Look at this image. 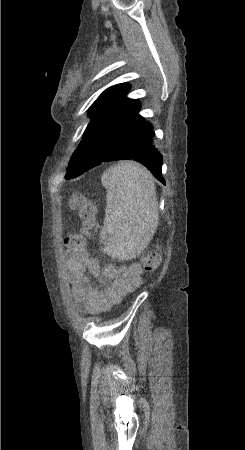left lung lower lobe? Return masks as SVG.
I'll use <instances>...</instances> for the list:
<instances>
[{"mask_svg":"<svg viewBox=\"0 0 245 450\" xmlns=\"http://www.w3.org/2000/svg\"><path fill=\"white\" fill-rule=\"evenodd\" d=\"M152 128L153 127L150 123L144 121L138 133L133 138H131L121 149L108 150V147L104 148V145L101 147H95V145H85L80 148L79 153L81 155L89 157V159L92 157H96L98 154L99 155L97 157H99L103 153V155L100 157L101 162L121 159H133L139 161L151 171L156 179L165 184L161 170L163 158L162 154L154 145L155 133Z\"/></svg>","mask_w":245,"mask_h":450,"instance_id":"1","label":"left lung lower lobe"}]
</instances>
